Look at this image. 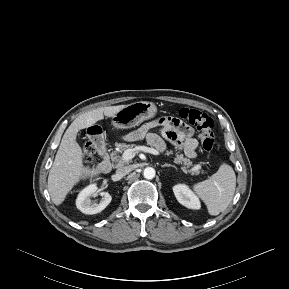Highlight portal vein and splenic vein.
<instances>
[{"instance_id":"1","label":"portal vein and splenic vein","mask_w":289,"mask_h":289,"mask_svg":"<svg viewBox=\"0 0 289 289\" xmlns=\"http://www.w3.org/2000/svg\"><path fill=\"white\" fill-rule=\"evenodd\" d=\"M139 152H147V153H151L153 155H159V152L153 148H149L146 146H137L133 149H127L126 151H124L123 155H122V159L125 161H129L132 158H134L136 153ZM200 165H195L191 170H197L200 169Z\"/></svg>"}]
</instances>
